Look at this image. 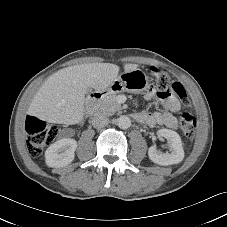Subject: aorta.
Listing matches in <instances>:
<instances>
[{
  "instance_id": "obj_1",
  "label": "aorta",
  "mask_w": 227,
  "mask_h": 227,
  "mask_svg": "<svg viewBox=\"0 0 227 227\" xmlns=\"http://www.w3.org/2000/svg\"><path fill=\"white\" fill-rule=\"evenodd\" d=\"M117 126L120 129H127L131 126V120L128 116L122 115L117 119Z\"/></svg>"
}]
</instances>
